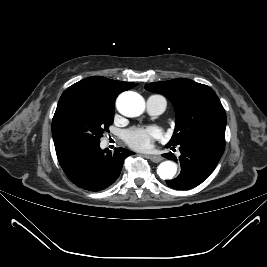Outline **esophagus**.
Here are the masks:
<instances>
[{
    "label": "esophagus",
    "mask_w": 267,
    "mask_h": 267,
    "mask_svg": "<svg viewBox=\"0 0 267 267\" xmlns=\"http://www.w3.org/2000/svg\"><path fill=\"white\" fill-rule=\"evenodd\" d=\"M147 157H148L152 162H155V163H158V162L162 161V157L157 156V155H147Z\"/></svg>",
    "instance_id": "34e87169"
}]
</instances>
